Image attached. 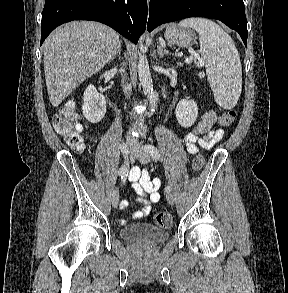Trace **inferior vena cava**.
Instances as JSON below:
<instances>
[{"mask_svg": "<svg viewBox=\"0 0 288 293\" xmlns=\"http://www.w3.org/2000/svg\"><path fill=\"white\" fill-rule=\"evenodd\" d=\"M131 88H132L131 85L123 83V91L127 97L129 96V94L131 92Z\"/></svg>", "mask_w": 288, "mask_h": 293, "instance_id": "obj_1", "label": "inferior vena cava"}]
</instances>
